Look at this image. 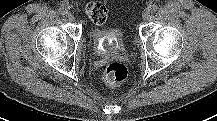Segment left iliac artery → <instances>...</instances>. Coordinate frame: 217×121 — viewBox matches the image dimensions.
<instances>
[{"label":"left iliac artery","instance_id":"obj_1","mask_svg":"<svg viewBox=\"0 0 217 121\" xmlns=\"http://www.w3.org/2000/svg\"><path fill=\"white\" fill-rule=\"evenodd\" d=\"M149 10H150L151 13H154V12H156L158 10V6L153 4L152 6H150Z\"/></svg>","mask_w":217,"mask_h":121}]
</instances>
